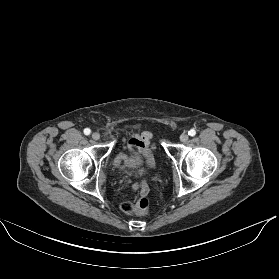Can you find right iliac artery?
<instances>
[{
    "instance_id": "82829eb1",
    "label": "right iliac artery",
    "mask_w": 279,
    "mask_h": 279,
    "mask_svg": "<svg viewBox=\"0 0 279 279\" xmlns=\"http://www.w3.org/2000/svg\"><path fill=\"white\" fill-rule=\"evenodd\" d=\"M91 133V130L89 128L84 129V134L89 135Z\"/></svg>"
}]
</instances>
